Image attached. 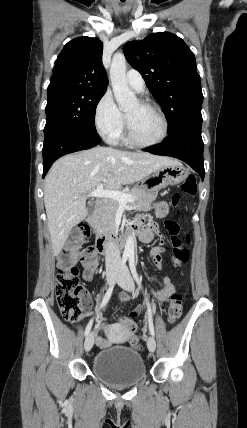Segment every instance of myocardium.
I'll return each instance as SVG.
<instances>
[{
	"instance_id": "obj_1",
	"label": "myocardium",
	"mask_w": 247,
	"mask_h": 428,
	"mask_svg": "<svg viewBox=\"0 0 247 428\" xmlns=\"http://www.w3.org/2000/svg\"><path fill=\"white\" fill-rule=\"evenodd\" d=\"M138 103L142 106L150 108L151 110H153L158 115V117L160 118L161 123H162V133H161L160 137L154 141H149V142L141 141V140L137 139L135 137V135L133 134V132L130 128V125L128 123V120L125 116L126 136H127L128 141L131 144H133L135 146H139V147H153V146L160 145L161 143H163L166 140V138L168 137V134H169V122H168V119H167L165 113L163 112V110L159 106H157L156 104H154L150 101L138 100Z\"/></svg>"
}]
</instances>
